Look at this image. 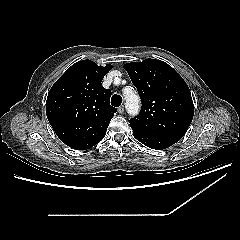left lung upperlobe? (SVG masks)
I'll use <instances>...</instances> for the list:
<instances>
[{
  "instance_id": "1",
  "label": "left lung upper lobe",
  "mask_w": 240,
  "mask_h": 240,
  "mask_svg": "<svg viewBox=\"0 0 240 240\" xmlns=\"http://www.w3.org/2000/svg\"><path fill=\"white\" fill-rule=\"evenodd\" d=\"M142 101L138 116L130 119L134 132L178 135L187 131L194 115L190 90L167 63L146 59L124 65Z\"/></svg>"
}]
</instances>
